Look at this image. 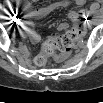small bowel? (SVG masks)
Masks as SVG:
<instances>
[{"label": "small bowel", "mask_w": 103, "mask_h": 103, "mask_svg": "<svg viewBox=\"0 0 103 103\" xmlns=\"http://www.w3.org/2000/svg\"><path fill=\"white\" fill-rule=\"evenodd\" d=\"M85 3L84 0H80L79 4L83 5ZM17 5L23 10V21L21 25V32L24 37L29 39L32 43H38L41 39L40 33L34 29L33 21L36 19H41L53 11L67 7L69 5L68 2H55L51 3L44 7H35L30 2L22 0L18 1ZM94 8L97 7L96 4L93 5ZM68 24L62 22L58 25L59 30L67 29Z\"/></svg>", "instance_id": "c3829d8e"}]
</instances>
